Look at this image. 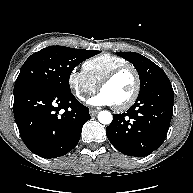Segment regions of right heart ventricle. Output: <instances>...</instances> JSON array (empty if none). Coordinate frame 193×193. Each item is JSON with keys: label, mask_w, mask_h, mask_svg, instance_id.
Returning a JSON list of instances; mask_svg holds the SVG:
<instances>
[{"label": "right heart ventricle", "mask_w": 193, "mask_h": 193, "mask_svg": "<svg viewBox=\"0 0 193 193\" xmlns=\"http://www.w3.org/2000/svg\"><path fill=\"white\" fill-rule=\"evenodd\" d=\"M129 62L119 56L103 53L85 60L82 64L83 72L96 85L114 68Z\"/></svg>", "instance_id": "right-heart-ventricle-1"}]
</instances>
